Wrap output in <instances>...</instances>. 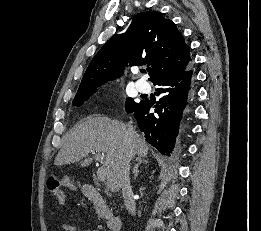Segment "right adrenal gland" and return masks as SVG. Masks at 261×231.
Listing matches in <instances>:
<instances>
[{
	"label": "right adrenal gland",
	"instance_id": "2a0ac1e0",
	"mask_svg": "<svg viewBox=\"0 0 261 231\" xmlns=\"http://www.w3.org/2000/svg\"><path fill=\"white\" fill-rule=\"evenodd\" d=\"M142 163V161L140 160L137 164H135L134 168H133V174H134V179L137 178L138 174H139V165Z\"/></svg>",
	"mask_w": 261,
	"mask_h": 231
}]
</instances>
